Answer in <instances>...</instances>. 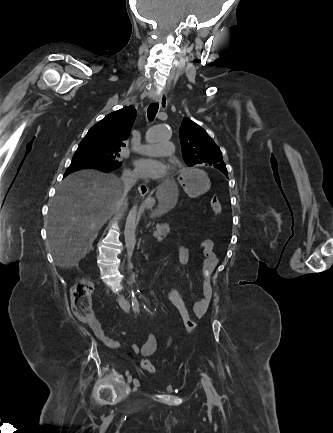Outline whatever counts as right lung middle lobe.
<instances>
[{"label":"right lung middle lobe","mask_w":333,"mask_h":433,"mask_svg":"<svg viewBox=\"0 0 333 433\" xmlns=\"http://www.w3.org/2000/svg\"><path fill=\"white\" fill-rule=\"evenodd\" d=\"M120 149L100 148L91 142L83 140L74 154L72 161H96L114 167L121 166Z\"/></svg>","instance_id":"right-lung-middle-lobe-1"}]
</instances>
